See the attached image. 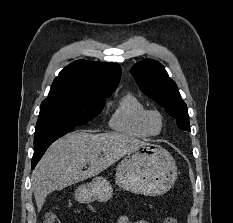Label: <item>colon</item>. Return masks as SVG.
<instances>
[{"label": "colon", "mask_w": 233, "mask_h": 223, "mask_svg": "<svg viewBox=\"0 0 233 223\" xmlns=\"http://www.w3.org/2000/svg\"><path fill=\"white\" fill-rule=\"evenodd\" d=\"M45 223H61V221L57 215L50 213L47 215ZM163 223H177V220L174 216H166Z\"/></svg>", "instance_id": "5ec220e1"}]
</instances>
